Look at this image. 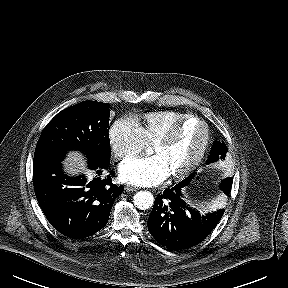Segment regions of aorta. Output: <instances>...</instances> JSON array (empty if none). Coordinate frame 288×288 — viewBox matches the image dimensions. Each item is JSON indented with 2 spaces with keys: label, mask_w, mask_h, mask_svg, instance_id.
Instances as JSON below:
<instances>
[{
  "label": "aorta",
  "mask_w": 288,
  "mask_h": 288,
  "mask_svg": "<svg viewBox=\"0 0 288 288\" xmlns=\"http://www.w3.org/2000/svg\"><path fill=\"white\" fill-rule=\"evenodd\" d=\"M134 205L140 210H146L153 206L154 196L149 191H139L133 197Z\"/></svg>",
  "instance_id": "aorta-1"
}]
</instances>
